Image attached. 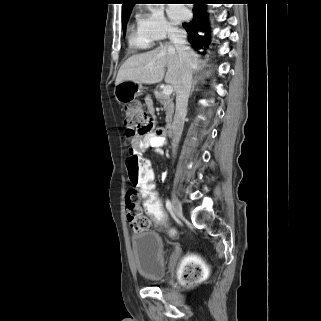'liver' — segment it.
Instances as JSON below:
<instances>
[{
    "instance_id": "6515ba94",
    "label": "liver",
    "mask_w": 321,
    "mask_h": 321,
    "mask_svg": "<svg viewBox=\"0 0 321 321\" xmlns=\"http://www.w3.org/2000/svg\"><path fill=\"white\" fill-rule=\"evenodd\" d=\"M189 48V47H188ZM192 72H199L198 55L189 48ZM165 67L167 72L165 75ZM180 76V60L173 44H161L156 49L133 55L128 58L118 71L115 84L122 81H132L141 84H156L163 80L172 85L175 90Z\"/></svg>"
}]
</instances>
